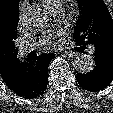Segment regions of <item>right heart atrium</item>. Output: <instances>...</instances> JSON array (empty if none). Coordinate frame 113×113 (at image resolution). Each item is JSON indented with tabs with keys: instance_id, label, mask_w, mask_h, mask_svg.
Returning <instances> with one entry per match:
<instances>
[{
	"instance_id": "d8ad5b80",
	"label": "right heart atrium",
	"mask_w": 113,
	"mask_h": 113,
	"mask_svg": "<svg viewBox=\"0 0 113 113\" xmlns=\"http://www.w3.org/2000/svg\"><path fill=\"white\" fill-rule=\"evenodd\" d=\"M25 6H26L25 3H23L21 8H20V18H22V16H23V12L25 10Z\"/></svg>"
}]
</instances>
